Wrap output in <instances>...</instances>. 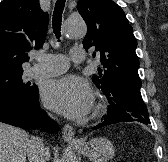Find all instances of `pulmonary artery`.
Returning <instances> with one entry per match:
<instances>
[{
  "label": "pulmonary artery",
  "mask_w": 168,
  "mask_h": 162,
  "mask_svg": "<svg viewBox=\"0 0 168 162\" xmlns=\"http://www.w3.org/2000/svg\"><path fill=\"white\" fill-rule=\"evenodd\" d=\"M38 63L31 68L29 76H53L64 73L69 66L70 60L73 62H83L85 53L82 47H73L69 56L62 54L36 55Z\"/></svg>",
  "instance_id": "e3ab8cb5"
}]
</instances>
